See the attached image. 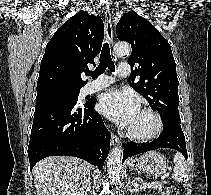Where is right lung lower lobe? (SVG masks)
I'll list each match as a JSON object with an SVG mask.
<instances>
[{"instance_id":"98d812e1","label":"right lung lower lobe","mask_w":211,"mask_h":195,"mask_svg":"<svg viewBox=\"0 0 211 195\" xmlns=\"http://www.w3.org/2000/svg\"><path fill=\"white\" fill-rule=\"evenodd\" d=\"M96 99L82 105L66 95L36 101L28 157L30 168L48 156H75L103 167L110 132L94 110Z\"/></svg>"}]
</instances>
